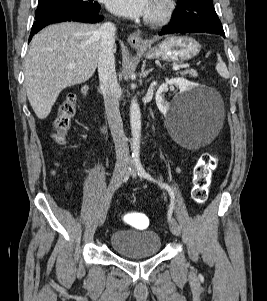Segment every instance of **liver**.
Returning a JSON list of instances; mask_svg holds the SVG:
<instances>
[{"label":"liver","instance_id":"6515ba94","mask_svg":"<svg viewBox=\"0 0 267 301\" xmlns=\"http://www.w3.org/2000/svg\"><path fill=\"white\" fill-rule=\"evenodd\" d=\"M100 40L99 25L76 22L50 25L33 37L24 74L28 100L39 119L49 115L63 89L92 77Z\"/></svg>","mask_w":267,"mask_h":301}]
</instances>
